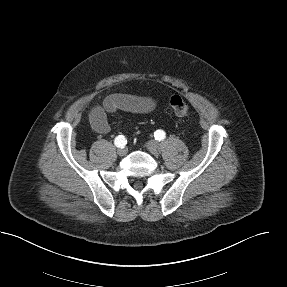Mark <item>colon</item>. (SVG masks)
<instances>
[{
	"mask_svg": "<svg viewBox=\"0 0 287 287\" xmlns=\"http://www.w3.org/2000/svg\"><path fill=\"white\" fill-rule=\"evenodd\" d=\"M173 113L179 117H185L189 114L188 103L179 95H173L169 100Z\"/></svg>",
	"mask_w": 287,
	"mask_h": 287,
	"instance_id": "colon-1",
	"label": "colon"
}]
</instances>
